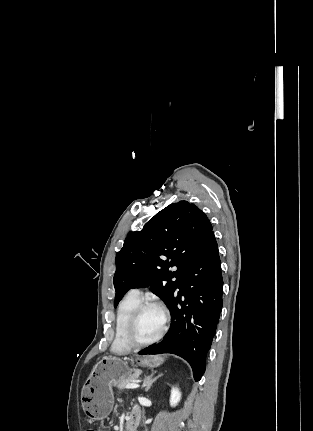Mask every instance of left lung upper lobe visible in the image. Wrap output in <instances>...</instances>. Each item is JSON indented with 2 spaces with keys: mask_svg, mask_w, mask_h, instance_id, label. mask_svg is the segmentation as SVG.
I'll use <instances>...</instances> for the list:
<instances>
[{
  "mask_svg": "<svg viewBox=\"0 0 313 431\" xmlns=\"http://www.w3.org/2000/svg\"><path fill=\"white\" fill-rule=\"evenodd\" d=\"M211 231L205 213L187 201L159 211L125 239L116 256L114 307L130 288L148 286L168 305ZM174 266L177 270L169 271Z\"/></svg>",
  "mask_w": 313,
  "mask_h": 431,
  "instance_id": "obj_1",
  "label": "left lung upper lobe"
}]
</instances>
